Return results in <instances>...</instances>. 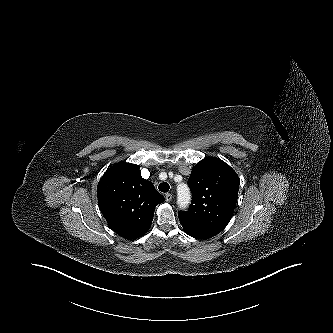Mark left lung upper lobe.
Here are the masks:
<instances>
[{
  "mask_svg": "<svg viewBox=\"0 0 333 333\" xmlns=\"http://www.w3.org/2000/svg\"><path fill=\"white\" fill-rule=\"evenodd\" d=\"M188 184L192 203L188 211L178 213L184 231L199 239L219 234L237 203L238 175L224 161L208 157L194 166Z\"/></svg>",
  "mask_w": 333,
  "mask_h": 333,
  "instance_id": "obj_1",
  "label": "left lung upper lobe"
}]
</instances>
